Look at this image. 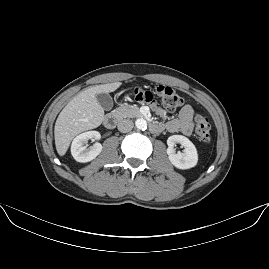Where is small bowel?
I'll use <instances>...</instances> for the list:
<instances>
[{"instance_id": "obj_1", "label": "small bowel", "mask_w": 269, "mask_h": 269, "mask_svg": "<svg viewBox=\"0 0 269 269\" xmlns=\"http://www.w3.org/2000/svg\"><path fill=\"white\" fill-rule=\"evenodd\" d=\"M156 112L161 116L165 115V113L157 107ZM193 116V108L190 105H185L179 111L178 116L166 124V128L169 132H181L183 135L189 136L192 134L194 128Z\"/></svg>"}]
</instances>
